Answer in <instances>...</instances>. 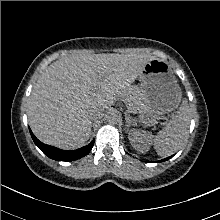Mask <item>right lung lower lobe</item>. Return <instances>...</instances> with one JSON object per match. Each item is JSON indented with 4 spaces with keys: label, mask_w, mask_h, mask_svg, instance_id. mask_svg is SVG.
Here are the masks:
<instances>
[{
    "label": "right lung lower lobe",
    "mask_w": 220,
    "mask_h": 220,
    "mask_svg": "<svg viewBox=\"0 0 220 220\" xmlns=\"http://www.w3.org/2000/svg\"><path fill=\"white\" fill-rule=\"evenodd\" d=\"M30 134L32 136V139L34 143L43 151L44 154H46L48 157L51 159L57 160V161H73L79 158L84 157L87 155L93 145H94V140L87 146L83 148H79L77 150L73 151H65V150H60L56 147L46 145L42 142H40L32 133V131L29 129Z\"/></svg>",
    "instance_id": "right-lung-lower-lobe-1"
}]
</instances>
